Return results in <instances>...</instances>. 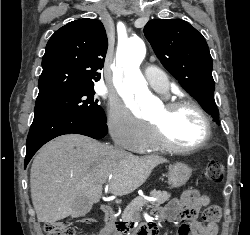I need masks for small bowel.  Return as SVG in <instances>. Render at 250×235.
<instances>
[{"instance_id": "c3829d8e", "label": "small bowel", "mask_w": 250, "mask_h": 235, "mask_svg": "<svg viewBox=\"0 0 250 235\" xmlns=\"http://www.w3.org/2000/svg\"><path fill=\"white\" fill-rule=\"evenodd\" d=\"M209 203L210 197L207 194L187 190L179 199L171 200L166 206L155 209L153 219L172 222L180 216L182 223L177 230V235H217V225H203L195 219L196 214ZM90 235L100 234L92 233Z\"/></svg>"}]
</instances>
